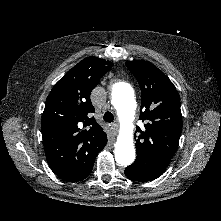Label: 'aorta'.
I'll use <instances>...</instances> for the list:
<instances>
[{
	"instance_id": "obj_1",
	"label": "aorta",
	"mask_w": 221,
	"mask_h": 221,
	"mask_svg": "<svg viewBox=\"0 0 221 221\" xmlns=\"http://www.w3.org/2000/svg\"><path fill=\"white\" fill-rule=\"evenodd\" d=\"M112 104L114 105L122 128L115 144V160L122 166H127L135 160V148L133 143V127L131 124L136 101L132 86L125 82L115 83L112 87Z\"/></svg>"
}]
</instances>
